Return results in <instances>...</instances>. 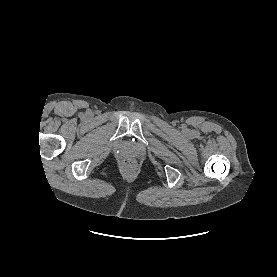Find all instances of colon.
<instances>
[{
	"label": "colon",
	"instance_id": "obj_1",
	"mask_svg": "<svg viewBox=\"0 0 277 277\" xmlns=\"http://www.w3.org/2000/svg\"><path fill=\"white\" fill-rule=\"evenodd\" d=\"M124 164L129 168H132L134 166V163L131 160H126Z\"/></svg>",
	"mask_w": 277,
	"mask_h": 277
}]
</instances>
